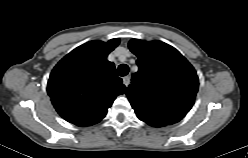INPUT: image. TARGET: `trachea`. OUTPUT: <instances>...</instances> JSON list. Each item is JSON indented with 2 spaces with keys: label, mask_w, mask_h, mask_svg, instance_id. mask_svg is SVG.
Returning a JSON list of instances; mask_svg holds the SVG:
<instances>
[{
  "label": "trachea",
  "mask_w": 248,
  "mask_h": 158,
  "mask_svg": "<svg viewBox=\"0 0 248 158\" xmlns=\"http://www.w3.org/2000/svg\"><path fill=\"white\" fill-rule=\"evenodd\" d=\"M129 72V67L128 65L126 64H121L119 67H118V75L119 76H126Z\"/></svg>",
  "instance_id": "1"
}]
</instances>
